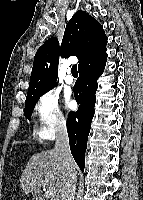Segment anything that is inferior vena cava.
<instances>
[{
  "instance_id": "inferior-vena-cava-1",
  "label": "inferior vena cava",
  "mask_w": 143,
  "mask_h": 200,
  "mask_svg": "<svg viewBox=\"0 0 143 200\" xmlns=\"http://www.w3.org/2000/svg\"><path fill=\"white\" fill-rule=\"evenodd\" d=\"M55 149L62 155L63 165L66 169V178L61 190V200H75L77 172L75 169V162L70 151L65 121H60L57 125Z\"/></svg>"
}]
</instances>
